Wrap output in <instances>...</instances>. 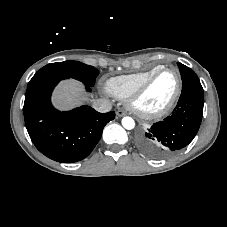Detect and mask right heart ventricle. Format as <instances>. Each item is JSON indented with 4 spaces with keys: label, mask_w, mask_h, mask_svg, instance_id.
<instances>
[{
    "label": "right heart ventricle",
    "mask_w": 227,
    "mask_h": 227,
    "mask_svg": "<svg viewBox=\"0 0 227 227\" xmlns=\"http://www.w3.org/2000/svg\"><path fill=\"white\" fill-rule=\"evenodd\" d=\"M161 67L155 66L145 71L109 78L105 82L104 89L108 94L116 98H128L143 81Z\"/></svg>",
    "instance_id": "right-heart-ventricle-1"
}]
</instances>
